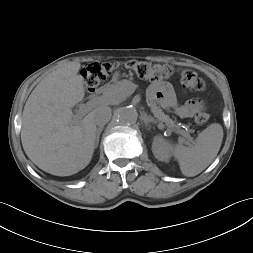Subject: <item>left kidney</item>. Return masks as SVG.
<instances>
[{
	"label": "left kidney",
	"mask_w": 253,
	"mask_h": 253,
	"mask_svg": "<svg viewBox=\"0 0 253 253\" xmlns=\"http://www.w3.org/2000/svg\"><path fill=\"white\" fill-rule=\"evenodd\" d=\"M152 152L159 161L168 162L170 158V145L161 136H155L152 144Z\"/></svg>",
	"instance_id": "5707ae66"
}]
</instances>
